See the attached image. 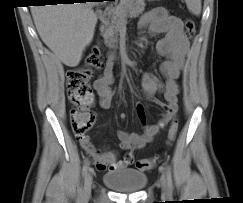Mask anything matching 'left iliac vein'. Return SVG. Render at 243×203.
Listing matches in <instances>:
<instances>
[{
	"instance_id": "4c4485c4",
	"label": "left iliac vein",
	"mask_w": 243,
	"mask_h": 203,
	"mask_svg": "<svg viewBox=\"0 0 243 203\" xmlns=\"http://www.w3.org/2000/svg\"><path fill=\"white\" fill-rule=\"evenodd\" d=\"M161 185H162V190H163V192H164L165 194L168 193L169 188H168L167 180H166L165 177L162 178Z\"/></svg>"
}]
</instances>
